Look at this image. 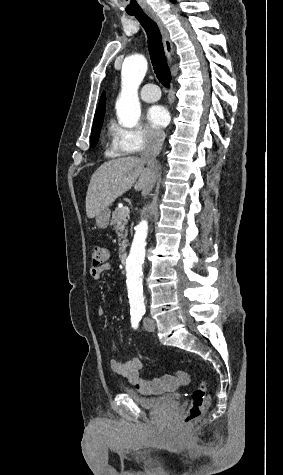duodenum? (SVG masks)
Listing matches in <instances>:
<instances>
[{
	"label": "duodenum",
	"mask_w": 283,
	"mask_h": 475,
	"mask_svg": "<svg viewBox=\"0 0 283 475\" xmlns=\"http://www.w3.org/2000/svg\"><path fill=\"white\" fill-rule=\"evenodd\" d=\"M127 259H128V254L127 252H122L120 254V260L123 264H125L127 262Z\"/></svg>",
	"instance_id": "obj_1"
}]
</instances>
